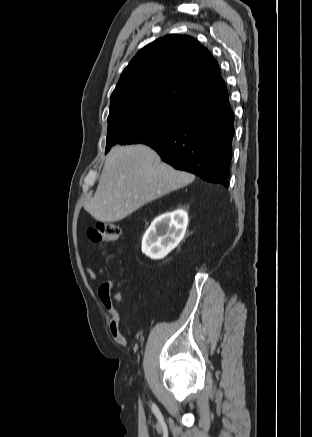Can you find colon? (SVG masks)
<instances>
[{"label":"colon","instance_id":"obj_1","mask_svg":"<svg viewBox=\"0 0 312 437\" xmlns=\"http://www.w3.org/2000/svg\"><path fill=\"white\" fill-rule=\"evenodd\" d=\"M121 235L120 227L111 222L98 221L88 230V236L96 242H115Z\"/></svg>","mask_w":312,"mask_h":437}]
</instances>
